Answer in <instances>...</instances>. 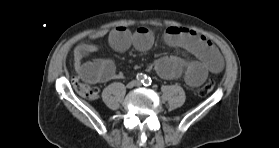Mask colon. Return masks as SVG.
Returning a JSON list of instances; mask_svg holds the SVG:
<instances>
[{"label":"colon","instance_id":"5ec220e1","mask_svg":"<svg viewBox=\"0 0 279 148\" xmlns=\"http://www.w3.org/2000/svg\"><path fill=\"white\" fill-rule=\"evenodd\" d=\"M73 86L77 91V93L84 98L94 100L98 96V90L95 87L82 83L77 79L73 80ZM213 89H214V82L212 80H208L204 85H202L199 88L198 94L199 96H205L210 92H212Z\"/></svg>","mask_w":279,"mask_h":148}]
</instances>
